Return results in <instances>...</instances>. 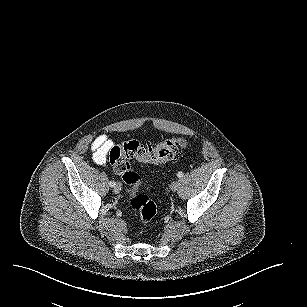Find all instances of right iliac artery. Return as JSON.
Segmentation results:
<instances>
[{
	"instance_id": "obj_1",
	"label": "right iliac artery",
	"mask_w": 307,
	"mask_h": 307,
	"mask_svg": "<svg viewBox=\"0 0 307 307\" xmlns=\"http://www.w3.org/2000/svg\"><path fill=\"white\" fill-rule=\"evenodd\" d=\"M109 185H110L111 187H114L116 184H115L114 181H111V182L109 183Z\"/></svg>"
}]
</instances>
